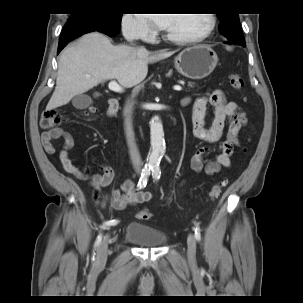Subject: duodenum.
Here are the masks:
<instances>
[{"instance_id":"obj_1","label":"duodenum","mask_w":303,"mask_h":303,"mask_svg":"<svg viewBox=\"0 0 303 303\" xmlns=\"http://www.w3.org/2000/svg\"><path fill=\"white\" fill-rule=\"evenodd\" d=\"M119 109V102L115 98H111L109 100V109H108V116H114Z\"/></svg>"}]
</instances>
